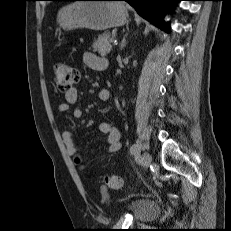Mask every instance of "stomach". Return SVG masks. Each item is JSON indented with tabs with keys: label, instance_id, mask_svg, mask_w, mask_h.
<instances>
[{
	"label": "stomach",
	"instance_id": "stomach-1",
	"mask_svg": "<svg viewBox=\"0 0 231 231\" xmlns=\"http://www.w3.org/2000/svg\"><path fill=\"white\" fill-rule=\"evenodd\" d=\"M128 13L124 3L115 0H80L61 8L57 23L64 30L103 31L122 26Z\"/></svg>",
	"mask_w": 231,
	"mask_h": 231
}]
</instances>
